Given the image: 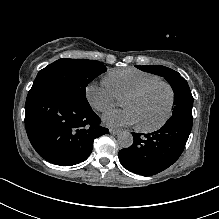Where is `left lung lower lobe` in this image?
Instances as JSON below:
<instances>
[{"instance_id": "1", "label": "left lung lower lobe", "mask_w": 219, "mask_h": 219, "mask_svg": "<svg viewBox=\"0 0 219 219\" xmlns=\"http://www.w3.org/2000/svg\"><path fill=\"white\" fill-rule=\"evenodd\" d=\"M193 121L168 120L159 130L143 134L133 132V144L119 151L124 168L143 176L155 175L175 163L182 154Z\"/></svg>"}]
</instances>
